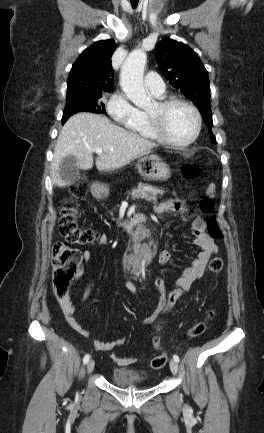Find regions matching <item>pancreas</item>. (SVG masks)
<instances>
[{
	"label": "pancreas",
	"instance_id": "obj_1",
	"mask_svg": "<svg viewBox=\"0 0 264 433\" xmlns=\"http://www.w3.org/2000/svg\"><path fill=\"white\" fill-rule=\"evenodd\" d=\"M164 190L154 187L149 184L139 183L137 188L128 192L133 199H145L146 201L156 202L158 195H163Z\"/></svg>",
	"mask_w": 264,
	"mask_h": 433
}]
</instances>
